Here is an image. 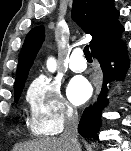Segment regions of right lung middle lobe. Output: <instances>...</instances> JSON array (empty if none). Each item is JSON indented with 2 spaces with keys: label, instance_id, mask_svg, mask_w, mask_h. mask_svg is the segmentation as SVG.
Here are the masks:
<instances>
[{
  "label": "right lung middle lobe",
  "instance_id": "right-lung-middle-lobe-1",
  "mask_svg": "<svg viewBox=\"0 0 131 151\" xmlns=\"http://www.w3.org/2000/svg\"><path fill=\"white\" fill-rule=\"evenodd\" d=\"M22 90H23V87L14 90V100H15V102L18 101V99H19V97L21 95Z\"/></svg>",
  "mask_w": 131,
  "mask_h": 151
}]
</instances>
